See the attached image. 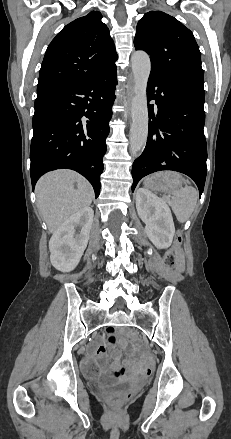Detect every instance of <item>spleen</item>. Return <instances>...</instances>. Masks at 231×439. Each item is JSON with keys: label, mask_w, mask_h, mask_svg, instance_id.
Segmentation results:
<instances>
[{"label": "spleen", "mask_w": 231, "mask_h": 439, "mask_svg": "<svg viewBox=\"0 0 231 439\" xmlns=\"http://www.w3.org/2000/svg\"><path fill=\"white\" fill-rule=\"evenodd\" d=\"M172 195L171 198L164 196V200L172 208L177 220L184 223L190 218L196 207L198 192L194 187L186 185L173 191Z\"/></svg>", "instance_id": "1"}]
</instances>
